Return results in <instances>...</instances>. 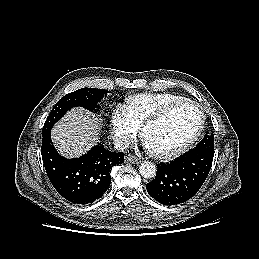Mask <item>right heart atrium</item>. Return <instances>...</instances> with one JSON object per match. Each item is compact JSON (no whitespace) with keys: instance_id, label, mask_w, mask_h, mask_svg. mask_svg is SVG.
<instances>
[{"instance_id":"1","label":"right heart atrium","mask_w":259,"mask_h":259,"mask_svg":"<svg viewBox=\"0 0 259 259\" xmlns=\"http://www.w3.org/2000/svg\"><path fill=\"white\" fill-rule=\"evenodd\" d=\"M110 125L116 144L126 148L136 138L138 128L132 123L125 107L117 105L111 112Z\"/></svg>"}]
</instances>
